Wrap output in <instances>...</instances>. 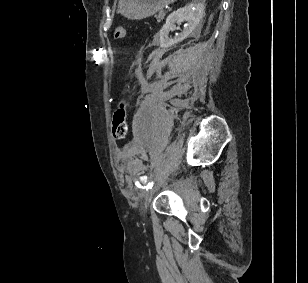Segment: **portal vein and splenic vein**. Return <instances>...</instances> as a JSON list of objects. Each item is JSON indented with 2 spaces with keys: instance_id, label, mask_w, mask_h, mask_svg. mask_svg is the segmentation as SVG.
I'll return each mask as SVG.
<instances>
[{
  "instance_id": "18ae733b",
  "label": "portal vein and splenic vein",
  "mask_w": 308,
  "mask_h": 283,
  "mask_svg": "<svg viewBox=\"0 0 308 283\" xmlns=\"http://www.w3.org/2000/svg\"><path fill=\"white\" fill-rule=\"evenodd\" d=\"M167 10H171V8L169 6L166 7Z\"/></svg>"
}]
</instances>
